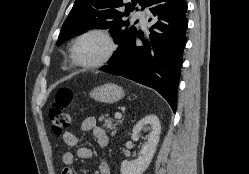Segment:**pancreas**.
I'll use <instances>...</instances> for the list:
<instances>
[{
  "instance_id": "obj_1",
  "label": "pancreas",
  "mask_w": 249,
  "mask_h": 174,
  "mask_svg": "<svg viewBox=\"0 0 249 174\" xmlns=\"http://www.w3.org/2000/svg\"><path fill=\"white\" fill-rule=\"evenodd\" d=\"M99 121H103V126L106 129L112 130L111 135L114 136L116 133V126L119 125L121 122L120 121H116L111 117H108L107 115L105 116H101L99 118Z\"/></svg>"
}]
</instances>
